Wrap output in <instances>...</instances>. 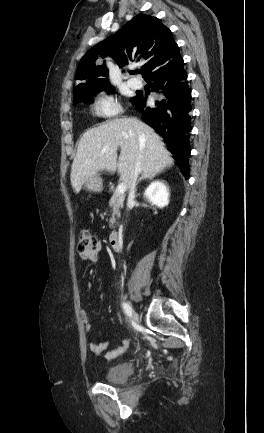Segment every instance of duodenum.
Wrapping results in <instances>:
<instances>
[{
    "mask_svg": "<svg viewBox=\"0 0 264 433\" xmlns=\"http://www.w3.org/2000/svg\"><path fill=\"white\" fill-rule=\"evenodd\" d=\"M121 237H122V230L121 229L112 230L109 233L108 241H109L110 246L113 249L119 248L120 242H121Z\"/></svg>",
    "mask_w": 264,
    "mask_h": 433,
    "instance_id": "1",
    "label": "duodenum"
}]
</instances>
